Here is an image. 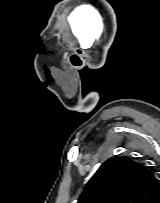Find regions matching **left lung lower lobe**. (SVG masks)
<instances>
[{"label": "left lung lower lobe", "instance_id": "1", "mask_svg": "<svg viewBox=\"0 0 160 203\" xmlns=\"http://www.w3.org/2000/svg\"><path fill=\"white\" fill-rule=\"evenodd\" d=\"M156 203H160V197H159V199L156 201Z\"/></svg>", "mask_w": 160, "mask_h": 203}]
</instances>
